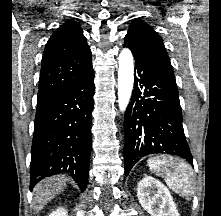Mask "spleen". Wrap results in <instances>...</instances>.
Wrapping results in <instances>:
<instances>
[{
  "label": "spleen",
  "instance_id": "3e777b00",
  "mask_svg": "<svg viewBox=\"0 0 221 216\" xmlns=\"http://www.w3.org/2000/svg\"><path fill=\"white\" fill-rule=\"evenodd\" d=\"M147 165L155 175L164 178L175 193L185 198L193 195V171L186 161L161 156L148 159Z\"/></svg>",
  "mask_w": 221,
  "mask_h": 216
}]
</instances>
